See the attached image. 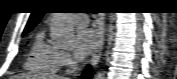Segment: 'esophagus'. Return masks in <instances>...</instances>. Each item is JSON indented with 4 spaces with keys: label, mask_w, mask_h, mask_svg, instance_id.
Instances as JSON below:
<instances>
[{
    "label": "esophagus",
    "mask_w": 177,
    "mask_h": 79,
    "mask_svg": "<svg viewBox=\"0 0 177 79\" xmlns=\"http://www.w3.org/2000/svg\"><path fill=\"white\" fill-rule=\"evenodd\" d=\"M104 19L105 15L104 13H99L98 18H97V33H98V42L95 47L94 53L92 55V58L90 60V63L93 67L96 66L98 63L99 59L102 56V51L104 48V43H105V24H104Z\"/></svg>",
    "instance_id": "esophagus-1"
}]
</instances>
